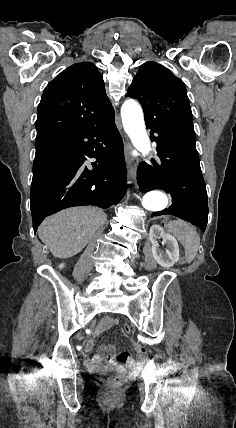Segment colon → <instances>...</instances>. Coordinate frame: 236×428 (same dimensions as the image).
Wrapping results in <instances>:
<instances>
[{"instance_id":"colon-1","label":"colon","mask_w":236,"mask_h":428,"mask_svg":"<svg viewBox=\"0 0 236 428\" xmlns=\"http://www.w3.org/2000/svg\"><path fill=\"white\" fill-rule=\"evenodd\" d=\"M123 333L125 335H128L131 333V328L129 325H125L123 327ZM123 383H124V379L122 376H119V375L111 376L106 381L107 388L113 392H117L122 387Z\"/></svg>"}]
</instances>
